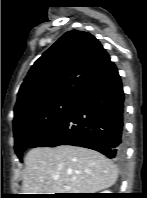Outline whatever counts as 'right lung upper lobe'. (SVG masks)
<instances>
[{
	"label": "right lung upper lobe",
	"mask_w": 147,
	"mask_h": 198,
	"mask_svg": "<svg viewBox=\"0 0 147 198\" xmlns=\"http://www.w3.org/2000/svg\"><path fill=\"white\" fill-rule=\"evenodd\" d=\"M111 63L93 35L66 32L29 70L18 92L14 120L51 101L76 100Z\"/></svg>",
	"instance_id": "right-lung-upper-lobe-1"
}]
</instances>
